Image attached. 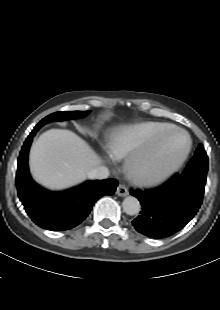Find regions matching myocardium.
<instances>
[{
  "mask_svg": "<svg viewBox=\"0 0 220 310\" xmlns=\"http://www.w3.org/2000/svg\"><path fill=\"white\" fill-rule=\"evenodd\" d=\"M172 132H178L183 134L186 137V145L179 156V158L168 168L157 174H150L145 170V162L151 157L157 150L159 143L167 137ZM192 146V141L189 134L182 128L176 126H170L159 132L152 141L149 149L146 148L138 149L130 154L126 161V169L130 177L138 184L141 185H158L171 176H173L184 164L186 161Z\"/></svg>",
  "mask_w": 220,
  "mask_h": 310,
  "instance_id": "f54148a6",
  "label": "myocardium"
}]
</instances>
